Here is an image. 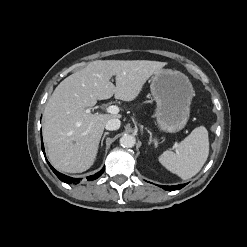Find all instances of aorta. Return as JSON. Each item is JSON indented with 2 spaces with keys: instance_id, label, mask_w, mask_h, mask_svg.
<instances>
[{
  "instance_id": "aorta-1",
  "label": "aorta",
  "mask_w": 247,
  "mask_h": 247,
  "mask_svg": "<svg viewBox=\"0 0 247 247\" xmlns=\"http://www.w3.org/2000/svg\"><path fill=\"white\" fill-rule=\"evenodd\" d=\"M136 143V138L131 134H125L120 138V145L123 148H132Z\"/></svg>"
}]
</instances>
